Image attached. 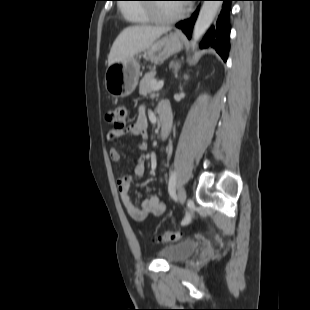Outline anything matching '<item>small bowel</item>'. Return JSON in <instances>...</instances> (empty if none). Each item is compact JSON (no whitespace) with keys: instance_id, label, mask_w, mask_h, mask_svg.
Instances as JSON below:
<instances>
[{"instance_id":"1","label":"small bowel","mask_w":310,"mask_h":310,"mask_svg":"<svg viewBox=\"0 0 310 310\" xmlns=\"http://www.w3.org/2000/svg\"><path fill=\"white\" fill-rule=\"evenodd\" d=\"M160 110L171 112L170 107L166 102L160 103L158 111ZM147 126L148 122L145 115V110L144 108H140L138 117L133 124L122 131L115 129L108 131L106 134V140L109 143H114L122 135L128 134L130 136L140 138L142 140L141 148H145L146 143L144 141L148 137ZM109 157L112 161L118 162L121 159L119 150L114 146L111 147L109 149ZM144 173V158L138 157L135 159V164L132 171L130 173L124 174L117 181L118 191L122 204L128 215L136 222H143L151 214L154 216H161L166 210L165 203L162 202L156 195H150L142 199L140 206L135 203L130 193V186L135 180L141 178Z\"/></svg>"}]
</instances>
